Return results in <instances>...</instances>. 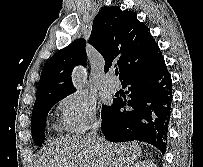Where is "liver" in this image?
I'll return each instance as SVG.
<instances>
[{"label":"liver","mask_w":203,"mask_h":167,"mask_svg":"<svg viewBox=\"0 0 203 167\" xmlns=\"http://www.w3.org/2000/svg\"><path fill=\"white\" fill-rule=\"evenodd\" d=\"M142 153L136 142L114 144L88 136L57 140L43 149L35 167H132Z\"/></svg>","instance_id":"6515ba94"}]
</instances>
